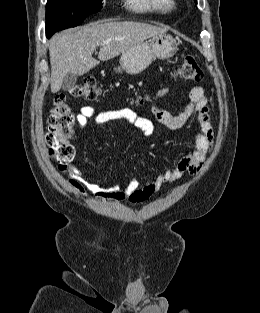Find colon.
Listing matches in <instances>:
<instances>
[{
	"label": "colon",
	"mask_w": 260,
	"mask_h": 313,
	"mask_svg": "<svg viewBox=\"0 0 260 313\" xmlns=\"http://www.w3.org/2000/svg\"><path fill=\"white\" fill-rule=\"evenodd\" d=\"M177 74L180 78L188 81H200L203 78V71L192 56H185L182 59ZM72 94L84 100H94L100 96L101 90L97 79L88 77L72 89ZM143 101V99H139L140 103ZM75 121V113L65 94H58L54 99V106L48 118L46 142L51 158L62 170L75 157V147L71 140Z\"/></svg>",
	"instance_id": "colon-1"
}]
</instances>
